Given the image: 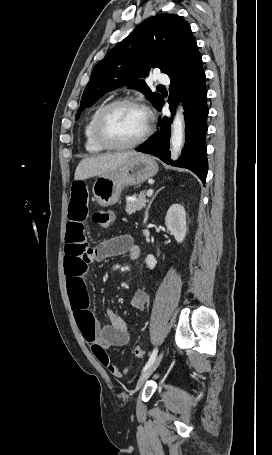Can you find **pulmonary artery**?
<instances>
[{"label":"pulmonary artery","mask_w":272,"mask_h":455,"mask_svg":"<svg viewBox=\"0 0 272 455\" xmlns=\"http://www.w3.org/2000/svg\"><path fill=\"white\" fill-rule=\"evenodd\" d=\"M156 81L161 84H169L170 79L166 74L158 73L156 76Z\"/></svg>","instance_id":"pulmonary-artery-1"}]
</instances>
